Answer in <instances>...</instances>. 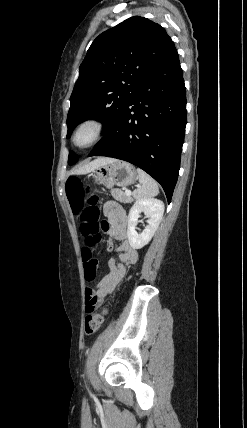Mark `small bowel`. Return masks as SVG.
I'll list each match as a JSON object with an SVG mask.
<instances>
[{"label": "small bowel", "mask_w": 247, "mask_h": 428, "mask_svg": "<svg viewBox=\"0 0 247 428\" xmlns=\"http://www.w3.org/2000/svg\"><path fill=\"white\" fill-rule=\"evenodd\" d=\"M104 215L107 218L106 231L118 240L116 247L118 256L108 259V273L95 285L85 289V301L88 298L97 299L98 303L109 295L120 283L126 274L127 267L138 260V252L128 240L127 216L123 208L114 201H108L103 206ZM112 250V246H108Z\"/></svg>", "instance_id": "small-bowel-1"}]
</instances>
